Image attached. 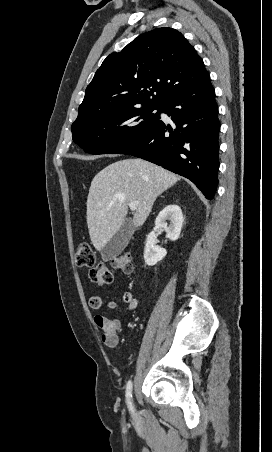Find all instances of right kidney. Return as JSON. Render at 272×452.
<instances>
[{"mask_svg":"<svg viewBox=\"0 0 272 452\" xmlns=\"http://www.w3.org/2000/svg\"><path fill=\"white\" fill-rule=\"evenodd\" d=\"M167 221H170L169 226L167 225ZM183 221L182 210L178 205L171 204L160 211L155 220V227L153 231L148 234L145 244L144 260L148 266L157 264L167 254L166 249L156 245V231L158 229H164L167 237L171 241H176L180 236Z\"/></svg>","mask_w":272,"mask_h":452,"instance_id":"right-kidney-1","label":"right kidney"}]
</instances>
